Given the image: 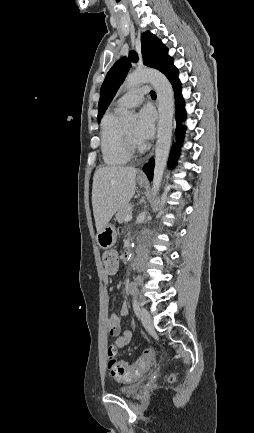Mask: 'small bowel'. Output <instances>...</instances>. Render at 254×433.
Here are the masks:
<instances>
[{"label": "small bowel", "mask_w": 254, "mask_h": 433, "mask_svg": "<svg viewBox=\"0 0 254 433\" xmlns=\"http://www.w3.org/2000/svg\"><path fill=\"white\" fill-rule=\"evenodd\" d=\"M107 281V279H106ZM129 308L127 303H123L120 310L111 316H107L104 320V328L109 335L117 337L115 346L122 348L128 345L133 338V332L130 330L121 331L120 324L122 319L128 314Z\"/></svg>", "instance_id": "obj_1"}]
</instances>
